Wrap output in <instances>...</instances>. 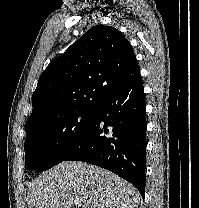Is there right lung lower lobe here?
<instances>
[{
    "label": "right lung lower lobe",
    "mask_w": 199,
    "mask_h": 208,
    "mask_svg": "<svg viewBox=\"0 0 199 208\" xmlns=\"http://www.w3.org/2000/svg\"><path fill=\"white\" fill-rule=\"evenodd\" d=\"M145 108L140 76L98 101L87 133L63 161H84L108 169L132 183L144 197L147 128Z\"/></svg>",
    "instance_id": "obj_1"
}]
</instances>
